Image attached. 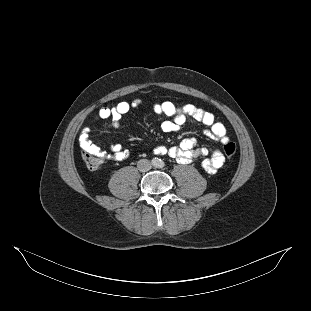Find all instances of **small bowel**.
Returning a JSON list of instances; mask_svg holds the SVG:
<instances>
[{
    "label": "small bowel",
    "instance_id": "c3829d8e",
    "mask_svg": "<svg viewBox=\"0 0 311 311\" xmlns=\"http://www.w3.org/2000/svg\"><path fill=\"white\" fill-rule=\"evenodd\" d=\"M139 104L140 101L138 100L133 102L122 101L113 107H102L98 110L95 119H110L111 122L109 127H119L123 115L127 114ZM153 109L156 114L172 117V119L164 121L161 125V129L166 133L178 131L185 124L187 117H190L206 126V129L204 130L206 136L220 141L223 144L229 142V137L224 125L216 121L212 113L207 112L196 105L187 104L178 107L170 101H164L160 104H156ZM89 135L90 128H84L79 136L81 148L83 150L100 152L101 142H92L89 139ZM195 145L196 141L193 138H187L184 139L179 146H158L154 149V153L158 155L167 154L182 164H187L199 157H204L201 161L202 168L209 173H216L225 161L223 153L220 150H214L210 153L206 148L195 149ZM108 148L112 157L116 160H123L128 156V152L118 144L110 145Z\"/></svg>",
    "mask_w": 311,
    "mask_h": 311
}]
</instances>
